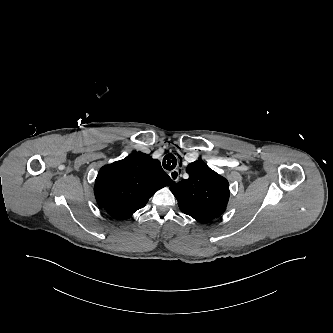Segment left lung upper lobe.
Returning <instances> with one entry per match:
<instances>
[{
	"label": "left lung upper lobe",
	"mask_w": 333,
	"mask_h": 333,
	"mask_svg": "<svg viewBox=\"0 0 333 333\" xmlns=\"http://www.w3.org/2000/svg\"><path fill=\"white\" fill-rule=\"evenodd\" d=\"M189 178L170 187L180 210L223 213L229 199L228 181L210 169L202 160L190 163Z\"/></svg>",
	"instance_id": "obj_1"
}]
</instances>
